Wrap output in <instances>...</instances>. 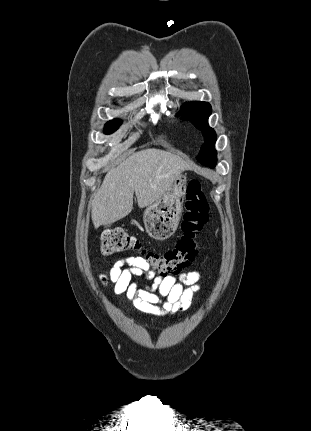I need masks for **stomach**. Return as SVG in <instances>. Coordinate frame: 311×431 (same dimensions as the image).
<instances>
[{
	"mask_svg": "<svg viewBox=\"0 0 311 431\" xmlns=\"http://www.w3.org/2000/svg\"><path fill=\"white\" fill-rule=\"evenodd\" d=\"M186 190V176L180 174L164 196L146 208L143 223L150 237L161 241L175 233L182 216Z\"/></svg>",
	"mask_w": 311,
	"mask_h": 431,
	"instance_id": "stomach-1",
	"label": "stomach"
}]
</instances>
